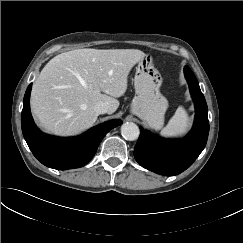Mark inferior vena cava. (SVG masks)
<instances>
[{"label": "inferior vena cava", "instance_id": "602c4592", "mask_svg": "<svg viewBox=\"0 0 243 243\" xmlns=\"http://www.w3.org/2000/svg\"><path fill=\"white\" fill-rule=\"evenodd\" d=\"M94 111L97 114H105L108 112V106L105 102L99 101L94 105Z\"/></svg>", "mask_w": 243, "mask_h": 243}]
</instances>
